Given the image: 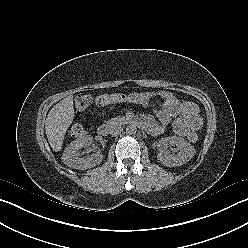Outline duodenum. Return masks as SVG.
I'll return each mask as SVG.
<instances>
[{"label": "duodenum", "mask_w": 248, "mask_h": 248, "mask_svg": "<svg viewBox=\"0 0 248 248\" xmlns=\"http://www.w3.org/2000/svg\"><path fill=\"white\" fill-rule=\"evenodd\" d=\"M135 123H138L135 121ZM97 134L101 137H106L109 134V128L106 125H100L97 129Z\"/></svg>", "instance_id": "1"}]
</instances>
